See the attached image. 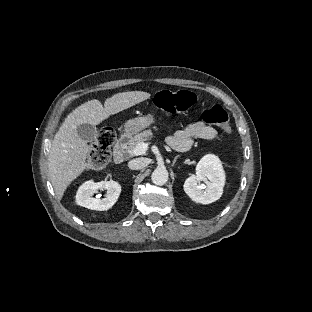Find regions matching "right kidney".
I'll use <instances>...</instances> for the list:
<instances>
[{
    "label": "right kidney",
    "instance_id": "right-kidney-1",
    "mask_svg": "<svg viewBox=\"0 0 312 312\" xmlns=\"http://www.w3.org/2000/svg\"><path fill=\"white\" fill-rule=\"evenodd\" d=\"M106 190V194L93 197L98 191ZM121 186L113 180H103L97 183L86 182L78 189L76 202L85 208L97 211L110 209L119 198Z\"/></svg>",
    "mask_w": 312,
    "mask_h": 312
}]
</instances>
